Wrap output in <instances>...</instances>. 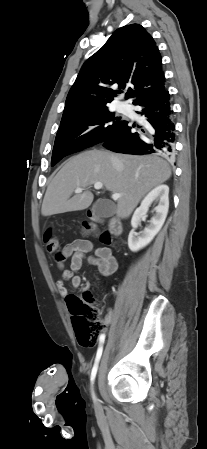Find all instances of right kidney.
Masks as SVG:
<instances>
[{
	"label": "right kidney",
	"instance_id": "obj_1",
	"mask_svg": "<svg viewBox=\"0 0 207 449\" xmlns=\"http://www.w3.org/2000/svg\"><path fill=\"white\" fill-rule=\"evenodd\" d=\"M168 194L169 187L167 185L157 186L149 192L141 202L140 207L134 212L131 220L133 230L128 236V246L132 252H137L147 246L162 228L169 208ZM153 202L158 203L155 208L156 215L150 220V224L142 232H135L141 220L146 217V213Z\"/></svg>",
	"mask_w": 207,
	"mask_h": 449
}]
</instances>
